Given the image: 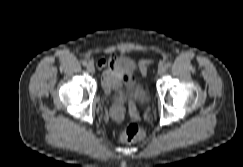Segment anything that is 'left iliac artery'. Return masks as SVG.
Returning a JSON list of instances; mask_svg holds the SVG:
<instances>
[{
  "instance_id": "obj_1",
  "label": "left iliac artery",
  "mask_w": 243,
  "mask_h": 167,
  "mask_svg": "<svg viewBox=\"0 0 243 167\" xmlns=\"http://www.w3.org/2000/svg\"><path fill=\"white\" fill-rule=\"evenodd\" d=\"M170 66H171V63H169V62L165 64L166 68H169Z\"/></svg>"
}]
</instances>
